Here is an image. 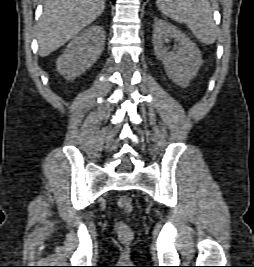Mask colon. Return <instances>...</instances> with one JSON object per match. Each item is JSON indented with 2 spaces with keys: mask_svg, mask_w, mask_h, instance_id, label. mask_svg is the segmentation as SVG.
Masks as SVG:
<instances>
[{
  "mask_svg": "<svg viewBox=\"0 0 254 267\" xmlns=\"http://www.w3.org/2000/svg\"><path fill=\"white\" fill-rule=\"evenodd\" d=\"M118 206L127 213L132 211V199L129 196H121L117 201ZM115 231L118 239L122 243H130L133 240L134 233L131 227L124 221H118L115 224Z\"/></svg>",
  "mask_w": 254,
  "mask_h": 267,
  "instance_id": "5ec220e1",
  "label": "colon"
}]
</instances>
